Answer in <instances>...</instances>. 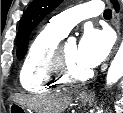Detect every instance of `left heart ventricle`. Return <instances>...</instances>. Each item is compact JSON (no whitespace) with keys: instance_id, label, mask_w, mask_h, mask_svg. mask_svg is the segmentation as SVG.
Masks as SVG:
<instances>
[{"instance_id":"left-heart-ventricle-1","label":"left heart ventricle","mask_w":123,"mask_h":113,"mask_svg":"<svg viewBox=\"0 0 123 113\" xmlns=\"http://www.w3.org/2000/svg\"><path fill=\"white\" fill-rule=\"evenodd\" d=\"M66 61L70 69L78 75L86 73L89 69L82 66L77 60V46L73 43H67L64 47Z\"/></svg>"}]
</instances>
